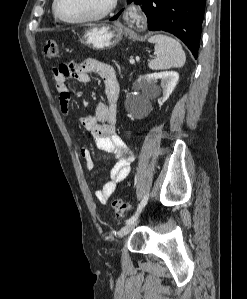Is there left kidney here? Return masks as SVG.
Segmentation results:
<instances>
[{
	"label": "left kidney",
	"mask_w": 247,
	"mask_h": 299,
	"mask_svg": "<svg viewBox=\"0 0 247 299\" xmlns=\"http://www.w3.org/2000/svg\"><path fill=\"white\" fill-rule=\"evenodd\" d=\"M158 79L161 80V87L163 88L162 100L166 101L177 85L179 74L175 71H164L146 75L143 79L142 87L145 90H154L157 88L156 82Z\"/></svg>",
	"instance_id": "left-kidney-1"
}]
</instances>
